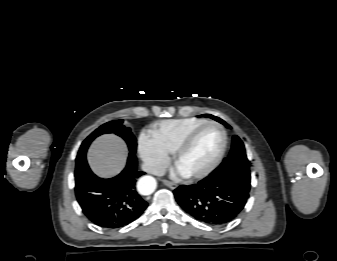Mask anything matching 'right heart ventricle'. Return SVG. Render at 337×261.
Listing matches in <instances>:
<instances>
[{"instance_id":"1","label":"right heart ventricle","mask_w":337,"mask_h":261,"mask_svg":"<svg viewBox=\"0 0 337 261\" xmlns=\"http://www.w3.org/2000/svg\"><path fill=\"white\" fill-rule=\"evenodd\" d=\"M204 122L195 117L162 120L152 125L150 136L164 152L173 154L184 137Z\"/></svg>"}]
</instances>
